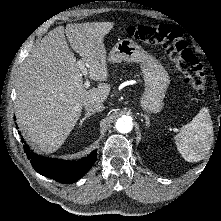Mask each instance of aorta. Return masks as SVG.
<instances>
[{
  "mask_svg": "<svg viewBox=\"0 0 221 221\" xmlns=\"http://www.w3.org/2000/svg\"><path fill=\"white\" fill-rule=\"evenodd\" d=\"M115 127L118 132L125 134L132 130L133 123L130 117L123 116L117 119Z\"/></svg>",
  "mask_w": 221,
  "mask_h": 221,
  "instance_id": "762f6f07",
  "label": "aorta"
}]
</instances>
